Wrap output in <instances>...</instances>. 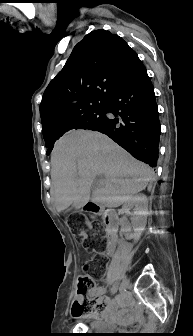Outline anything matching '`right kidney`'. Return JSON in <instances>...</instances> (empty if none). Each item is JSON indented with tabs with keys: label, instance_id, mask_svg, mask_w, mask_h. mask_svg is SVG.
I'll return each mask as SVG.
<instances>
[{
	"label": "right kidney",
	"instance_id": "right-kidney-1",
	"mask_svg": "<svg viewBox=\"0 0 193 336\" xmlns=\"http://www.w3.org/2000/svg\"><path fill=\"white\" fill-rule=\"evenodd\" d=\"M133 209L132 213V225H133V238L138 241L142 232L145 229L147 216H148V199L144 194H138L126 199L122 206V210L125 213H129V210Z\"/></svg>",
	"mask_w": 193,
	"mask_h": 336
}]
</instances>
